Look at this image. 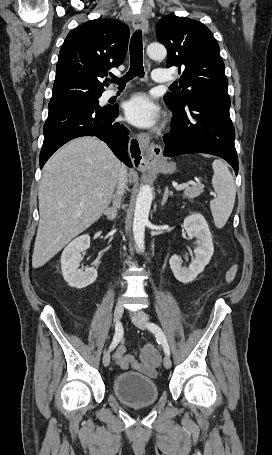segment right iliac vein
<instances>
[{
  "mask_svg": "<svg viewBox=\"0 0 272 455\" xmlns=\"http://www.w3.org/2000/svg\"><path fill=\"white\" fill-rule=\"evenodd\" d=\"M123 311H124V308H123V303L122 301H118L116 303V306H115V309H114V322H119V320L121 319L122 315H123ZM110 363V353L109 351H105L104 352V355H103V365L105 367H107Z\"/></svg>",
  "mask_w": 272,
  "mask_h": 455,
  "instance_id": "1",
  "label": "right iliac vein"
}]
</instances>
